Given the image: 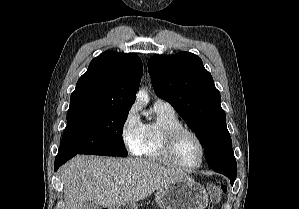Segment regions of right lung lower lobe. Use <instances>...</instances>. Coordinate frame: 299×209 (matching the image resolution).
I'll return each mask as SVG.
<instances>
[{"label":"right lung lower lobe","mask_w":299,"mask_h":209,"mask_svg":"<svg viewBox=\"0 0 299 209\" xmlns=\"http://www.w3.org/2000/svg\"><path fill=\"white\" fill-rule=\"evenodd\" d=\"M75 155L76 153H58L55 159L54 170L56 171L62 164Z\"/></svg>","instance_id":"1"}]
</instances>
